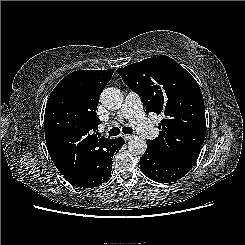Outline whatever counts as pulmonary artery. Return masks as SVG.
Returning <instances> with one entry per match:
<instances>
[{"label":"pulmonary artery","mask_w":245,"mask_h":245,"mask_svg":"<svg viewBox=\"0 0 245 245\" xmlns=\"http://www.w3.org/2000/svg\"><path fill=\"white\" fill-rule=\"evenodd\" d=\"M118 117L130 119L138 133L146 139H153L157 136V129L147 119L142 101L134 92H129L126 95L124 104L118 112Z\"/></svg>","instance_id":"e3ab8cb5"}]
</instances>
